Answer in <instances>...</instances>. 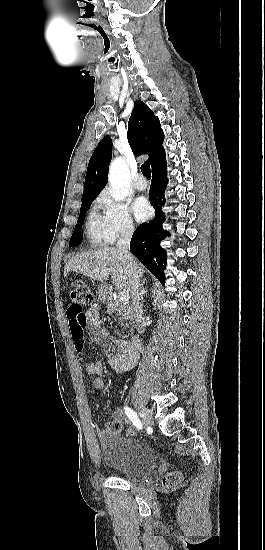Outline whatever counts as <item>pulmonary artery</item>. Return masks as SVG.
<instances>
[{"mask_svg": "<svg viewBox=\"0 0 265 550\" xmlns=\"http://www.w3.org/2000/svg\"><path fill=\"white\" fill-rule=\"evenodd\" d=\"M148 186L147 181L144 179L142 175H140L134 183V187L138 191H144Z\"/></svg>", "mask_w": 265, "mask_h": 550, "instance_id": "e3ab8cb5", "label": "pulmonary artery"}]
</instances>
